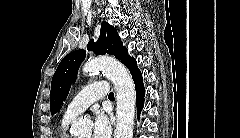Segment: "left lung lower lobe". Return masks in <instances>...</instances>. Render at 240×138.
Returning a JSON list of instances; mask_svg holds the SVG:
<instances>
[{"instance_id": "left-lung-lower-lobe-1", "label": "left lung lower lobe", "mask_w": 240, "mask_h": 138, "mask_svg": "<svg viewBox=\"0 0 240 138\" xmlns=\"http://www.w3.org/2000/svg\"><path fill=\"white\" fill-rule=\"evenodd\" d=\"M131 75L132 78L134 80L135 83V88H136V101H137V115H140V112L143 108L144 105V85H143V81H142V74L140 72V70L137 67V63L135 59H131V61L127 64L126 66Z\"/></svg>"}]
</instances>
